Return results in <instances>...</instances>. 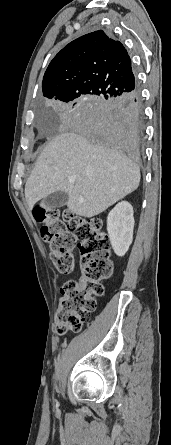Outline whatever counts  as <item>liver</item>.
Segmentation results:
<instances>
[{
	"label": "liver",
	"mask_w": 171,
	"mask_h": 445,
	"mask_svg": "<svg viewBox=\"0 0 171 445\" xmlns=\"http://www.w3.org/2000/svg\"><path fill=\"white\" fill-rule=\"evenodd\" d=\"M69 177L75 182L70 183ZM140 169L106 143H94L75 132H63L48 142L25 185L29 209L56 191L68 195L76 215L93 217L136 190Z\"/></svg>",
	"instance_id": "liver-1"
}]
</instances>
